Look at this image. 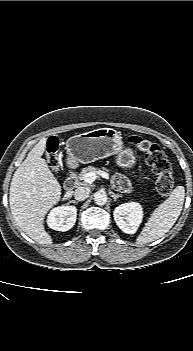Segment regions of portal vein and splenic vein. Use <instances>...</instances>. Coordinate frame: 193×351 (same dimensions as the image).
Returning a JSON list of instances; mask_svg holds the SVG:
<instances>
[{
  "instance_id": "portal-vein-and-splenic-vein-1",
  "label": "portal vein and splenic vein",
  "mask_w": 193,
  "mask_h": 351,
  "mask_svg": "<svg viewBox=\"0 0 193 351\" xmlns=\"http://www.w3.org/2000/svg\"><path fill=\"white\" fill-rule=\"evenodd\" d=\"M97 175H100L101 177L106 178V179L109 178V175L105 171H99L97 174L94 172L86 173L84 175L83 180H84V182L91 184L92 182H94L96 180Z\"/></svg>"
}]
</instances>
